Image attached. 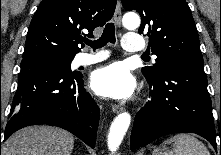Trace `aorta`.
I'll use <instances>...</instances> for the list:
<instances>
[{"label": "aorta", "instance_id": "762f6f07", "mask_svg": "<svg viewBox=\"0 0 221 155\" xmlns=\"http://www.w3.org/2000/svg\"><path fill=\"white\" fill-rule=\"evenodd\" d=\"M123 25L127 29H136L140 25V18L137 14H127L123 18ZM131 121V116L128 112L120 113L112 122L108 134V148L115 152L121 144L124 135L126 134Z\"/></svg>", "mask_w": 221, "mask_h": 155}]
</instances>
